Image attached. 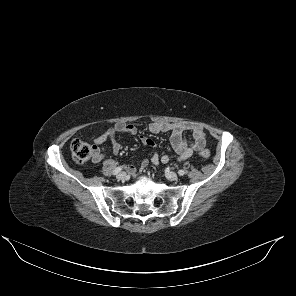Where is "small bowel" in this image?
<instances>
[{"label":"small bowel","mask_w":296,"mask_h":296,"mask_svg":"<svg viewBox=\"0 0 296 296\" xmlns=\"http://www.w3.org/2000/svg\"><path fill=\"white\" fill-rule=\"evenodd\" d=\"M149 131L154 134L158 133H171V143L178 155V160H186L193 156V154L202 149L206 143V136L203 128L192 122H152L149 125ZM191 132L192 138L188 141L184 134ZM138 133L137 128L132 124H126L123 122L117 123L114 126L108 128L102 134H100L95 140L94 144L97 146V156L94 158L95 162H99L104 157V152L100 150V147L107 141H111V152L118 154L121 150V144L119 142V136L129 135L133 136ZM142 143L148 147H154L155 142L146 137L143 134H139ZM153 165H159L160 163L167 164L171 161V157L168 155L160 156L157 152H154L150 159ZM149 164L148 159H143L140 165V169L144 170ZM126 170L133 176L137 174V169L133 165H126Z\"/></svg>","instance_id":"1"}]
</instances>
